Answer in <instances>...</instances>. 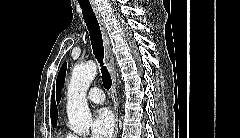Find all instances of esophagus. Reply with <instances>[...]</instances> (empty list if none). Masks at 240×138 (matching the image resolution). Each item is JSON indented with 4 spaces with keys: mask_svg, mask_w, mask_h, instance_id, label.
Listing matches in <instances>:
<instances>
[{
    "mask_svg": "<svg viewBox=\"0 0 240 138\" xmlns=\"http://www.w3.org/2000/svg\"><path fill=\"white\" fill-rule=\"evenodd\" d=\"M92 9L96 15V18H97V21L99 23L100 30L102 33L104 52H105V60L108 65V69H109L111 80H112L111 98L113 101V111H114V118H115L113 138H116L117 133H118V100H117V92H116V76H115L114 58H113V54H112L110 46H109L106 27H105L102 15H101L98 7L95 4H92Z\"/></svg>",
    "mask_w": 240,
    "mask_h": 138,
    "instance_id": "obj_1",
    "label": "esophagus"
}]
</instances>
